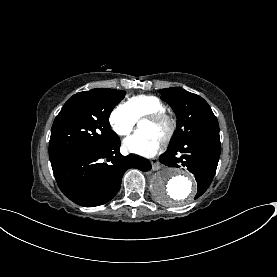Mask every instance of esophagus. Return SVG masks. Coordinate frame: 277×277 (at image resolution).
<instances>
[{"label": "esophagus", "instance_id": "obj_1", "mask_svg": "<svg viewBox=\"0 0 277 277\" xmlns=\"http://www.w3.org/2000/svg\"><path fill=\"white\" fill-rule=\"evenodd\" d=\"M150 162H151L152 170L156 171L162 168V165L159 162L158 158H153L150 160Z\"/></svg>", "mask_w": 277, "mask_h": 277}]
</instances>
